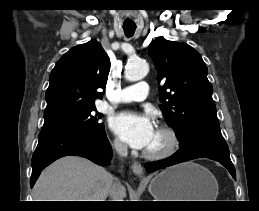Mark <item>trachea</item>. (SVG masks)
Masks as SVG:
<instances>
[{
  "label": "trachea",
  "mask_w": 259,
  "mask_h": 211,
  "mask_svg": "<svg viewBox=\"0 0 259 211\" xmlns=\"http://www.w3.org/2000/svg\"><path fill=\"white\" fill-rule=\"evenodd\" d=\"M123 30L127 37H131L135 33L136 25H123Z\"/></svg>",
  "instance_id": "trachea-1"
}]
</instances>
